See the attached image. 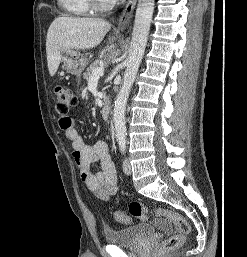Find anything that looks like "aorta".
Masks as SVG:
<instances>
[{
  "mask_svg": "<svg viewBox=\"0 0 247 257\" xmlns=\"http://www.w3.org/2000/svg\"><path fill=\"white\" fill-rule=\"evenodd\" d=\"M154 3L155 0H139L137 5L129 55L126 59V69L113 109L115 135L118 140L126 137L125 111L127 100L144 56Z\"/></svg>",
  "mask_w": 247,
  "mask_h": 257,
  "instance_id": "aorta-1",
  "label": "aorta"
}]
</instances>
